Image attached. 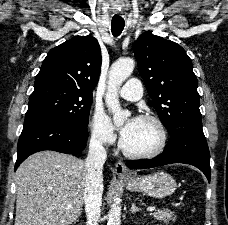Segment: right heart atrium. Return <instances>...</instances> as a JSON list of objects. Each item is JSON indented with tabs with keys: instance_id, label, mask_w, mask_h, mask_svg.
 I'll list each match as a JSON object with an SVG mask.
<instances>
[{
	"instance_id": "1",
	"label": "right heart atrium",
	"mask_w": 228,
	"mask_h": 225,
	"mask_svg": "<svg viewBox=\"0 0 228 225\" xmlns=\"http://www.w3.org/2000/svg\"><path fill=\"white\" fill-rule=\"evenodd\" d=\"M89 131L91 138L101 145H111L115 142V133L104 112L98 108L92 112Z\"/></svg>"
}]
</instances>
